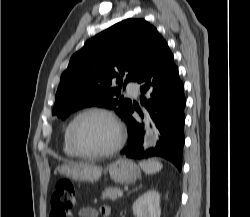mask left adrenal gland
I'll list each match as a JSON object with an SVG mask.
<instances>
[{
    "label": "left adrenal gland",
    "instance_id": "obj_1",
    "mask_svg": "<svg viewBox=\"0 0 250 217\" xmlns=\"http://www.w3.org/2000/svg\"><path fill=\"white\" fill-rule=\"evenodd\" d=\"M142 187V185H140V187L139 188H141ZM138 188H136V190H137Z\"/></svg>",
    "mask_w": 250,
    "mask_h": 217
}]
</instances>
